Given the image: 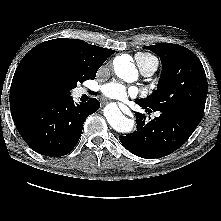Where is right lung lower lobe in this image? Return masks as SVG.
I'll return each mask as SVG.
<instances>
[{"label":"right lung lower lobe","instance_id":"98d812e1","mask_svg":"<svg viewBox=\"0 0 221 221\" xmlns=\"http://www.w3.org/2000/svg\"><path fill=\"white\" fill-rule=\"evenodd\" d=\"M99 107L96 98L75 104L67 96L22 101L11 112L21 137L34 151L57 157L68 154L75 147L85 119Z\"/></svg>","mask_w":221,"mask_h":221}]
</instances>
